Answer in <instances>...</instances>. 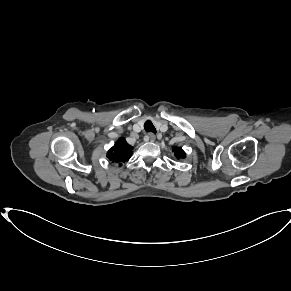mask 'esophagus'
Masks as SVG:
<instances>
[{
    "label": "esophagus",
    "mask_w": 291,
    "mask_h": 291,
    "mask_svg": "<svg viewBox=\"0 0 291 291\" xmlns=\"http://www.w3.org/2000/svg\"><path fill=\"white\" fill-rule=\"evenodd\" d=\"M155 139H156V136L153 133H150L148 135V140H150L151 142L155 141Z\"/></svg>",
    "instance_id": "1"
}]
</instances>
